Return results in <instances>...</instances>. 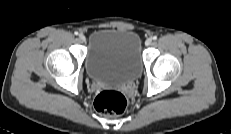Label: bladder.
Segmentation results:
<instances>
[{"label": "bladder", "mask_w": 231, "mask_h": 134, "mask_svg": "<svg viewBox=\"0 0 231 134\" xmlns=\"http://www.w3.org/2000/svg\"><path fill=\"white\" fill-rule=\"evenodd\" d=\"M142 65L141 40L135 32L99 29L90 34L85 69L93 81L128 83L140 75Z\"/></svg>", "instance_id": "1"}]
</instances>
